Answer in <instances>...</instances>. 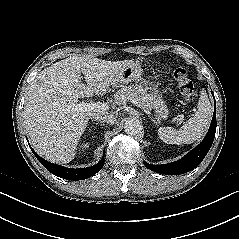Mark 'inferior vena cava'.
<instances>
[{"mask_svg":"<svg viewBox=\"0 0 239 239\" xmlns=\"http://www.w3.org/2000/svg\"><path fill=\"white\" fill-rule=\"evenodd\" d=\"M91 119H94L95 121H101V122H106L107 124H114L116 121L115 116L111 114H103V115H93Z\"/></svg>","mask_w":239,"mask_h":239,"instance_id":"1","label":"inferior vena cava"}]
</instances>
